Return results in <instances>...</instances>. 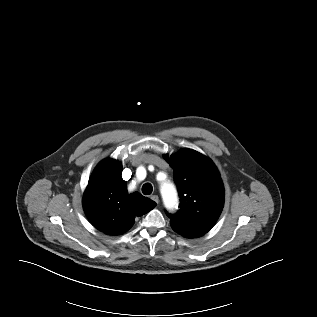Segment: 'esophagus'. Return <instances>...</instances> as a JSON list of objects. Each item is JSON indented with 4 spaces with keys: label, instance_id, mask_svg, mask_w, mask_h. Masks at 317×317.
Returning a JSON list of instances; mask_svg holds the SVG:
<instances>
[{
    "label": "esophagus",
    "instance_id": "1",
    "mask_svg": "<svg viewBox=\"0 0 317 317\" xmlns=\"http://www.w3.org/2000/svg\"><path fill=\"white\" fill-rule=\"evenodd\" d=\"M151 199H152L153 201H155L156 203H159V197H158V195H152V196H151Z\"/></svg>",
    "mask_w": 317,
    "mask_h": 317
}]
</instances>
